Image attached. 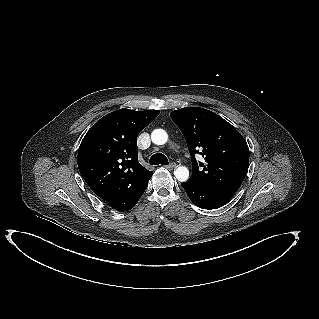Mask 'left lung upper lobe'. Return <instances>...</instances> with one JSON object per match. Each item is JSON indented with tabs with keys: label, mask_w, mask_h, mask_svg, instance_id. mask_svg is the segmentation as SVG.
Returning <instances> with one entry per match:
<instances>
[{
	"label": "left lung upper lobe",
	"mask_w": 319,
	"mask_h": 319,
	"mask_svg": "<svg viewBox=\"0 0 319 319\" xmlns=\"http://www.w3.org/2000/svg\"><path fill=\"white\" fill-rule=\"evenodd\" d=\"M183 133L192 153L190 181L233 196L240 188L249 165V148L243 136L216 113L186 107L170 113ZM205 157L199 166L194 155Z\"/></svg>",
	"instance_id": "left-lung-upper-lobe-1"
}]
</instances>
